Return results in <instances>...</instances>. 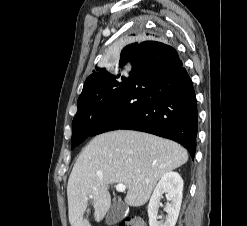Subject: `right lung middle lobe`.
Wrapping results in <instances>:
<instances>
[{
    "instance_id": "right-lung-middle-lobe-1",
    "label": "right lung middle lobe",
    "mask_w": 247,
    "mask_h": 226,
    "mask_svg": "<svg viewBox=\"0 0 247 226\" xmlns=\"http://www.w3.org/2000/svg\"><path fill=\"white\" fill-rule=\"evenodd\" d=\"M128 61H131V58L121 52L120 68L122 69ZM114 62L117 61L114 59ZM124 79L120 70H101L95 85L80 95L78 111L72 123L71 149L91 136L120 93Z\"/></svg>"
}]
</instances>
